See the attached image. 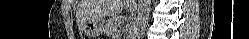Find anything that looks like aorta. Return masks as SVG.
<instances>
[{
	"instance_id": "obj_1",
	"label": "aorta",
	"mask_w": 249,
	"mask_h": 39,
	"mask_svg": "<svg viewBox=\"0 0 249 39\" xmlns=\"http://www.w3.org/2000/svg\"><path fill=\"white\" fill-rule=\"evenodd\" d=\"M150 2L151 0H138L137 16L135 18V28L133 30V36L135 38H139L142 35V30L147 21Z\"/></svg>"
}]
</instances>
